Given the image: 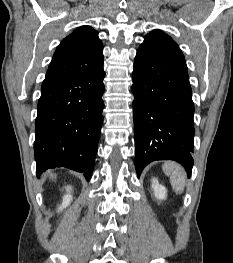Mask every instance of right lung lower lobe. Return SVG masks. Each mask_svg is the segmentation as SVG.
Segmentation results:
<instances>
[{
    "instance_id": "obj_1",
    "label": "right lung lower lobe",
    "mask_w": 233,
    "mask_h": 263,
    "mask_svg": "<svg viewBox=\"0 0 233 263\" xmlns=\"http://www.w3.org/2000/svg\"><path fill=\"white\" fill-rule=\"evenodd\" d=\"M104 77L102 60L89 74L43 81L35 122L38 176L67 167L90 180L103 121Z\"/></svg>"
}]
</instances>
